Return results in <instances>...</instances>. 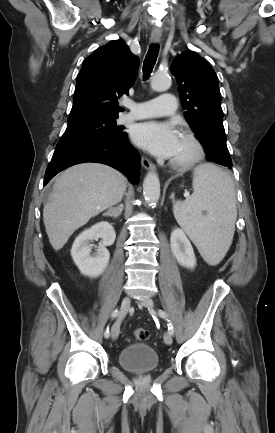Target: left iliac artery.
Here are the masks:
<instances>
[{"instance_id": "obj_1", "label": "left iliac artery", "mask_w": 275, "mask_h": 433, "mask_svg": "<svg viewBox=\"0 0 275 433\" xmlns=\"http://www.w3.org/2000/svg\"><path fill=\"white\" fill-rule=\"evenodd\" d=\"M158 314H159L160 317L166 319V320L169 322V323H168V331H169L171 334H173V333H174V327H173L172 323L170 322V320H168V316H167V314H166L164 311H162V310H159V311H158Z\"/></svg>"}]
</instances>
